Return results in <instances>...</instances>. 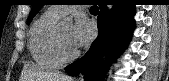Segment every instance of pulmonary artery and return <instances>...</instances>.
<instances>
[{"label": "pulmonary artery", "instance_id": "pulmonary-artery-1", "mask_svg": "<svg viewBox=\"0 0 169 81\" xmlns=\"http://www.w3.org/2000/svg\"><path fill=\"white\" fill-rule=\"evenodd\" d=\"M52 9L62 15L65 14L70 8L68 6H53Z\"/></svg>", "mask_w": 169, "mask_h": 81}]
</instances>
